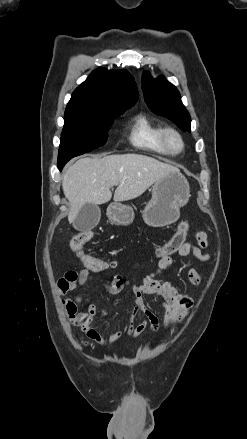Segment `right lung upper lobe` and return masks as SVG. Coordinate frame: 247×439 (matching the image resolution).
Listing matches in <instances>:
<instances>
[{"label": "right lung upper lobe", "instance_id": "1", "mask_svg": "<svg viewBox=\"0 0 247 439\" xmlns=\"http://www.w3.org/2000/svg\"><path fill=\"white\" fill-rule=\"evenodd\" d=\"M138 99L133 76L127 70L99 68L73 92L65 112L111 113L132 107Z\"/></svg>", "mask_w": 247, "mask_h": 439}]
</instances>
